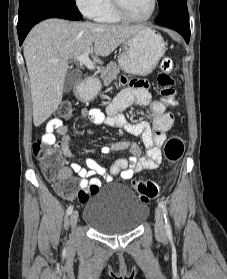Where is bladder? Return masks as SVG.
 <instances>
[{
    "instance_id": "1",
    "label": "bladder",
    "mask_w": 227,
    "mask_h": 279,
    "mask_svg": "<svg viewBox=\"0 0 227 279\" xmlns=\"http://www.w3.org/2000/svg\"><path fill=\"white\" fill-rule=\"evenodd\" d=\"M148 213L131 189L118 185L106 193H93L85 203L83 221L99 233L118 235L137 229Z\"/></svg>"
}]
</instances>
